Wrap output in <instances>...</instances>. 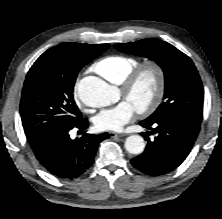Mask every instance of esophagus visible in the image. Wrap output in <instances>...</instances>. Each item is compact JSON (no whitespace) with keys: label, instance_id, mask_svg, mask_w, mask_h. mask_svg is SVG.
I'll use <instances>...</instances> for the list:
<instances>
[{"label":"esophagus","instance_id":"34e87169","mask_svg":"<svg viewBox=\"0 0 222 219\" xmlns=\"http://www.w3.org/2000/svg\"><path fill=\"white\" fill-rule=\"evenodd\" d=\"M109 136H110L111 138H116V137H123V136H125V134L115 133V132H109Z\"/></svg>","mask_w":222,"mask_h":219}]
</instances>
